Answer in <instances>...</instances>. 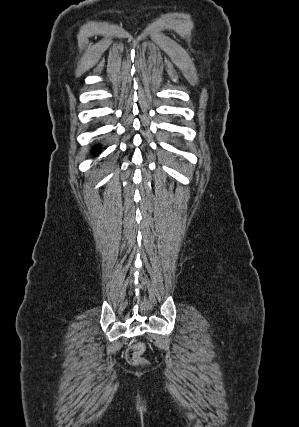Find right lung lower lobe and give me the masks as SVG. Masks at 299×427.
<instances>
[{"mask_svg":"<svg viewBox=\"0 0 299 427\" xmlns=\"http://www.w3.org/2000/svg\"><path fill=\"white\" fill-rule=\"evenodd\" d=\"M94 152H96V153H97V152H99L98 148H96V149L94 150Z\"/></svg>","mask_w":299,"mask_h":427,"instance_id":"98d812e1","label":"right lung lower lobe"}]
</instances>
